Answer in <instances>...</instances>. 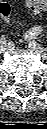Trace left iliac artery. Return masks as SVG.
Wrapping results in <instances>:
<instances>
[{"label":"left iliac artery","instance_id":"left-iliac-artery-1","mask_svg":"<svg viewBox=\"0 0 47 129\" xmlns=\"http://www.w3.org/2000/svg\"><path fill=\"white\" fill-rule=\"evenodd\" d=\"M41 28L40 27H33L30 31H28V38H33L41 33Z\"/></svg>","mask_w":47,"mask_h":129}]
</instances>
